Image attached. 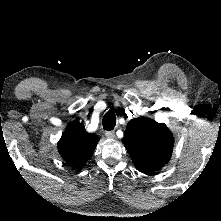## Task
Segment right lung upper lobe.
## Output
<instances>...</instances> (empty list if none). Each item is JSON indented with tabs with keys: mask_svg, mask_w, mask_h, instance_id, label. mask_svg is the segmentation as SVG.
I'll return each mask as SVG.
<instances>
[{
	"mask_svg": "<svg viewBox=\"0 0 221 221\" xmlns=\"http://www.w3.org/2000/svg\"><path fill=\"white\" fill-rule=\"evenodd\" d=\"M98 141L99 137L88 133L82 124L71 123L58 142V150L69 165L82 168L92 156Z\"/></svg>",
	"mask_w": 221,
	"mask_h": 221,
	"instance_id": "obj_1",
	"label": "right lung upper lobe"
}]
</instances>
